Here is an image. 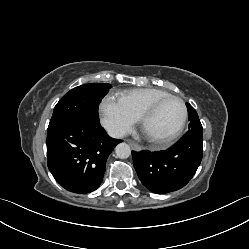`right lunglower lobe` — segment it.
<instances>
[{
  "label": "right lung lower lobe",
  "instance_id": "right-lung-lower-lobe-1",
  "mask_svg": "<svg viewBox=\"0 0 249 249\" xmlns=\"http://www.w3.org/2000/svg\"><path fill=\"white\" fill-rule=\"evenodd\" d=\"M122 142L109 137L99 121H77L47 133L48 168L66 190L86 194L96 190L106 160Z\"/></svg>",
  "mask_w": 249,
  "mask_h": 249
}]
</instances>
